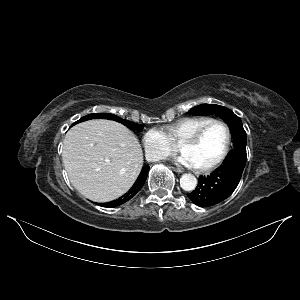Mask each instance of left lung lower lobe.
Returning <instances> with one entry per match:
<instances>
[{
  "label": "left lung lower lobe",
  "instance_id": "1",
  "mask_svg": "<svg viewBox=\"0 0 300 300\" xmlns=\"http://www.w3.org/2000/svg\"><path fill=\"white\" fill-rule=\"evenodd\" d=\"M247 159L246 150L233 149L221 167L209 176H200L194 191L188 194L199 207H210L228 198L236 189Z\"/></svg>",
  "mask_w": 300,
  "mask_h": 300
}]
</instances>
